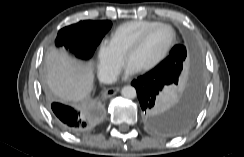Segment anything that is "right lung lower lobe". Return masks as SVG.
Listing matches in <instances>:
<instances>
[{
    "instance_id": "1",
    "label": "right lung lower lobe",
    "mask_w": 244,
    "mask_h": 157,
    "mask_svg": "<svg viewBox=\"0 0 244 157\" xmlns=\"http://www.w3.org/2000/svg\"><path fill=\"white\" fill-rule=\"evenodd\" d=\"M51 109L60 125L69 132L81 134L92 126L90 124L92 115L83 110H76L55 102L51 104Z\"/></svg>"
}]
</instances>
